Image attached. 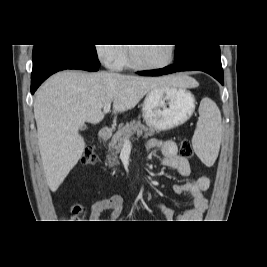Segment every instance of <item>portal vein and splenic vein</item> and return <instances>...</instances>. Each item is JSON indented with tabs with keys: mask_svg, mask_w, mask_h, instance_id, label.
I'll list each match as a JSON object with an SVG mask.
<instances>
[{
	"mask_svg": "<svg viewBox=\"0 0 267 267\" xmlns=\"http://www.w3.org/2000/svg\"><path fill=\"white\" fill-rule=\"evenodd\" d=\"M110 108H111V103L106 104V105L104 106V108H103V112H104V113L109 112V111H110ZM125 142H126V143H129V142H130V141H129V138H127Z\"/></svg>",
	"mask_w": 267,
	"mask_h": 267,
	"instance_id": "portal-vein-and-splenic-vein-1",
	"label": "portal vein and splenic vein"
}]
</instances>
